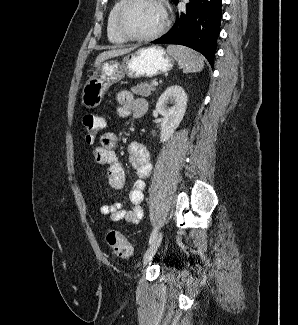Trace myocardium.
Here are the masks:
<instances>
[{
    "label": "myocardium",
    "instance_id": "obj_1",
    "mask_svg": "<svg viewBox=\"0 0 298 325\" xmlns=\"http://www.w3.org/2000/svg\"><path fill=\"white\" fill-rule=\"evenodd\" d=\"M138 1H142V0H126L123 2L115 17V22H114L115 30L118 33V35L123 39H125L126 41L139 42V43L153 41L156 38H158L165 31L167 27L168 24L167 9L165 7V4L161 0H146L154 3L158 7V9L162 13L163 20L160 27L157 30H155L153 33L144 37H136L131 35L124 29V27L122 26V19L127 9Z\"/></svg>",
    "mask_w": 298,
    "mask_h": 325
}]
</instances>
